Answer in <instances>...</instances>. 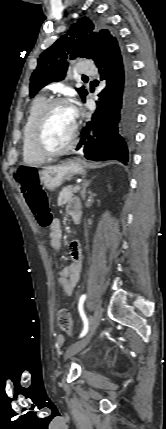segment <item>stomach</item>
Instances as JSON below:
<instances>
[{
	"label": "stomach",
	"mask_w": 166,
	"mask_h": 429,
	"mask_svg": "<svg viewBox=\"0 0 166 429\" xmlns=\"http://www.w3.org/2000/svg\"><path fill=\"white\" fill-rule=\"evenodd\" d=\"M87 164L79 159L47 166L38 172L40 182L49 191H54L65 181L76 174H85Z\"/></svg>",
	"instance_id": "1"
}]
</instances>
